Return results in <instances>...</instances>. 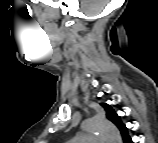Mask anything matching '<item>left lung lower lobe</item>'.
<instances>
[{"label":"left lung lower lobe","mask_w":158,"mask_h":143,"mask_svg":"<svg viewBox=\"0 0 158 143\" xmlns=\"http://www.w3.org/2000/svg\"><path fill=\"white\" fill-rule=\"evenodd\" d=\"M124 143H133L129 135L122 136Z\"/></svg>","instance_id":"obj_1"}]
</instances>
